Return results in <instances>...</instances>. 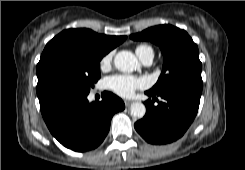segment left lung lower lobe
I'll use <instances>...</instances> for the list:
<instances>
[{
    "mask_svg": "<svg viewBox=\"0 0 245 170\" xmlns=\"http://www.w3.org/2000/svg\"><path fill=\"white\" fill-rule=\"evenodd\" d=\"M146 94L149 96L146 114L135 123L136 131L151 144L171 143L182 137L197 114L201 92L175 87L159 94ZM155 101L158 105H154Z\"/></svg>",
    "mask_w": 245,
    "mask_h": 170,
    "instance_id": "0a47b994",
    "label": "left lung lower lobe"
}]
</instances>
